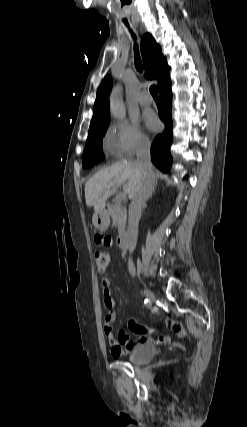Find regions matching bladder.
I'll return each mask as SVG.
<instances>
[{"label":"bladder","mask_w":247,"mask_h":427,"mask_svg":"<svg viewBox=\"0 0 247 427\" xmlns=\"http://www.w3.org/2000/svg\"><path fill=\"white\" fill-rule=\"evenodd\" d=\"M157 354L154 344H141L136 346L128 355V361L132 364H145L151 361Z\"/></svg>","instance_id":"1"}]
</instances>
